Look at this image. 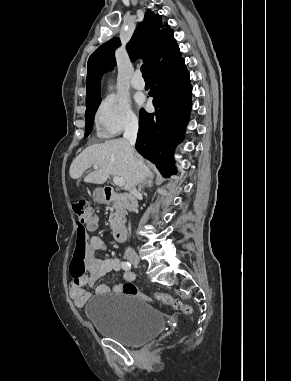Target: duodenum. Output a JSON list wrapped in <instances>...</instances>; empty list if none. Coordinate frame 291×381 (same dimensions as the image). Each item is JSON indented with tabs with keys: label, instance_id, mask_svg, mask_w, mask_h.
<instances>
[{
	"label": "duodenum",
	"instance_id": "410a0bca",
	"mask_svg": "<svg viewBox=\"0 0 291 381\" xmlns=\"http://www.w3.org/2000/svg\"><path fill=\"white\" fill-rule=\"evenodd\" d=\"M101 192L105 203L119 202L123 206L130 209L135 208L136 206V201L134 198L120 194L111 187H104ZM113 236L116 242H125L127 238L126 226L124 224L115 225L113 229Z\"/></svg>",
	"mask_w": 291,
	"mask_h": 381
}]
</instances>
